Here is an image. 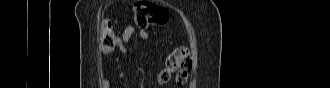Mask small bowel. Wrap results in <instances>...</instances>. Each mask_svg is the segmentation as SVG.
I'll use <instances>...</instances> for the list:
<instances>
[{"instance_id":"small-bowel-1","label":"small bowel","mask_w":330,"mask_h":88,"mask_svg":"<svg viewBox=\"0 0 330 88\" xmlns=\"http://www.w3.org/2000/svg\"><path fill=\"white\" fill-rule=\"evenodd\" d=\"M135 32H136V29L134 26H127L125 28L121 37L117 41V46L121 52H123V53L127 52L125 44L131 41ZM137 36H138V39L141 41H146L149 39V33L146 30H140L138 32Z\"/></svg>"}]
</instances>
